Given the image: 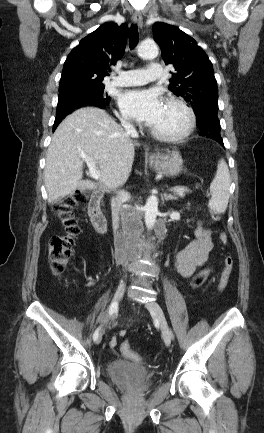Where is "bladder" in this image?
Returning a JSON list of instances; mask_svg holds the SVG:
<instances>
[{"instance_id":"obj_1","label":"bladder","mask_w":264,"mask_h":433,"mask_svg":"<svg viewBox=\"0 0 264 433\" xmlns=\"http://www.w3.org/2000/svg\"><path fill=\"white\" fill-rule=\"evenodd\" d=\"M107 371L111 380L126 391L142 393L149 388L151 375L145 370L123 362H112Z\"/></svg>"}]
</instances>
